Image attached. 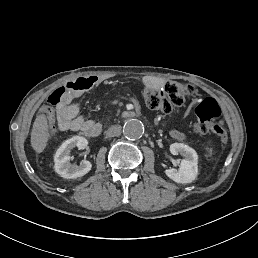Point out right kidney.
I'll list each match as a JSON object with an SVG mask.
<instances>
[{"label":"right kidney","instance_id":"right-kidney-1","mask_svg":"<svg viewBox=\"0 0 258 258\" xmlns=\"http://www.w3.org/2000/svg\"><path fill=\"white\" fill-rule=\"evenodd\" d=\"M87 146L88 140L84 136H73L63 142L54 155L55 171L64 178H77L86 174L91 169V163L83 160L79 165H72L70 161L73 156L70 155V152L75 147L86 149Z\"/></svg>","mask_w":258,"mask_h":258}]
</instances>
